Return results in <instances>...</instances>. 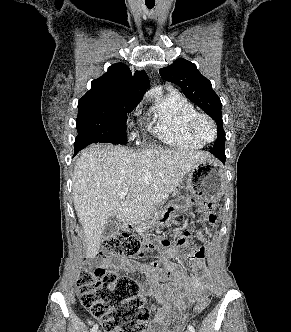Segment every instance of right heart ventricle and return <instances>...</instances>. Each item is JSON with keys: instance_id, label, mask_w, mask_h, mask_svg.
<instances>
[{"instance_id": "right-heart-ventricle-1", "label": "right heart ventricle", "mask_w": 291, "mask_h": 332, "mask_svg": "<svg viewBox=\"0 0 291 332\" xmlns=\"http://www.w3.org/2000/svg\"><path fill=\"white\" fill-rule=\"evenodd\" d=\"M197 110L185 96L176 90H168L157 97L150 108L154 134L164 143L180 149L195 150L203 144L195 140L188 131L189 118Z\"/></svg>"}]
</instances>
